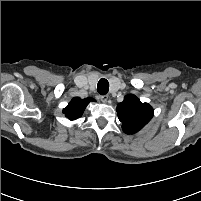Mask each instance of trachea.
<instances>
[{
	"label": "trachea",
	"mask_w": 201,
	"mask_h": 201,
	"mask_svg": "<svg viewBox=\"0 0 201 201\" xmlns=\"http://www.w3.org/2000/svg\"><path fill=\"white\" fill-rule=\"evenodd\" d=\"M97 91L101 95H105L109 91V83L105 78H101L97 85Z\"/></svg>",
	"instance_id": "trachea-1"
}]
</instances>
